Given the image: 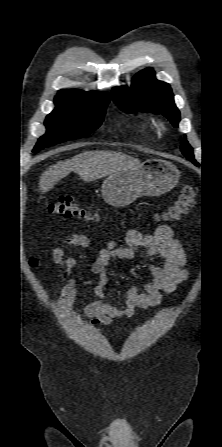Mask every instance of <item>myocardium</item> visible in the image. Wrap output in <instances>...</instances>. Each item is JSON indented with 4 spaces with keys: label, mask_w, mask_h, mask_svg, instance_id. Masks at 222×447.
I'll use <instances>...</instances> for the list:
<instances>
[{
    "label": "myocardium",
    "mask_w": 222,
    "mask_h": 447,
    "mask_svg": "<svg viewBox=\"0 0 222 447\" xmlns=\"http://www.w3.org/2000/svg\"><path fill=\"white\" fill-rule=\"evenodd\" d=\"M159 126H160V128H162V129L164 128V125H163V123H161V122L159 123Z\"/></svg>",
    "instance_id": "myocardium-1"
}]
</instances>
